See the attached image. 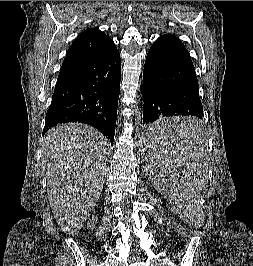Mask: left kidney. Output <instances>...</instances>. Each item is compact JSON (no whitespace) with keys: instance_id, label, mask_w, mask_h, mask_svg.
<instances>
[{"instance_id":"1","label":"left kidney","mask_w":253,"mask_h":266,"mask_svg":"<svg viewBox=\"0 0 253 266\" xmlns=\"http://www.w3.org/2000/svg\"><path fill=\"white\" fill-rule=\"evenodd\" d=\"M183 206H184V204H181V205H179V208H180V209H182V208H183Z\"/></svg>"}]
</instances>
